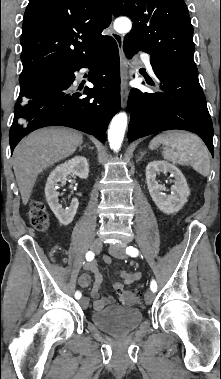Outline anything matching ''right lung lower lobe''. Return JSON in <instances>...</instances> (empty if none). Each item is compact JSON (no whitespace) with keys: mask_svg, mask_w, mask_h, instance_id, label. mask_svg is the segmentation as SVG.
<instances>
[{"mask_svg":"<svg viewBox=\"0 0 221 379\" xmlns=\"http://www.w3.org/2000/svg\"><path fill=\"white\" fill-rule=\"evenodd\" d=\"M83 67L90 69L89 81L94 87H85L80 93L73 91L71 84L74 72ZM20 91L9 133L11 152L24 136L45 126L75 128L104 143L109 121L120 109L118 46L109 37L90 56L52 67L23 81Z\"/></svg>","mask_w":221,"mask_h":379,"instance_id":"right-lung-lower-lobe-1","label":"right lung lower lobe"}]
</instances>
